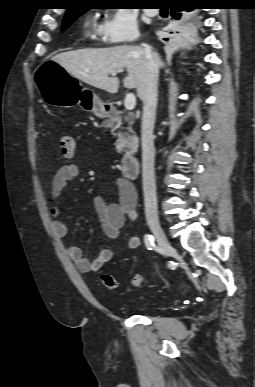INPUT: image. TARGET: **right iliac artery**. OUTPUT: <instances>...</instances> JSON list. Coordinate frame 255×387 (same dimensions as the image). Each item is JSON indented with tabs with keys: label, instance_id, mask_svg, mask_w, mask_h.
<instances>
[{
	"label": "right iliac artery",
	"instance_id": "1",
	"mask_svg": "<svg viewBox=\"0 0 255 387\" xmlns=\"http://www.w3.org/2000/svg\"><path fill=\"white\" fill-rule=\"evenodd\" d=\"M144 242H145V246L148 250H153V248L155 247L154 237L152 235L146 234L144 236Z\"/></svg>",
	"mask_w": 255,
	"mask_h": 387
}]
</instances>
